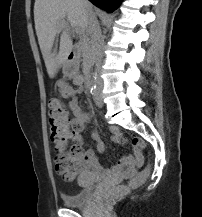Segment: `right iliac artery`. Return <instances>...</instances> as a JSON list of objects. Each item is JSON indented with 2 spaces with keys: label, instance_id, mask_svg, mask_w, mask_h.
<instances>
[{
  "label": "right iliac artery",
  "instance_id": "right-iliac-artery-1",
  "mask_svg": "<svg viewBox=\"0 0 202 217\" xmlns=\"http://www.w3.org/2000/svg\"><path fill=\"white\" fill-rule=\"evenodd\" d=\"M90 92H91L92 95L95 94V92H96V85H94V84L90 85Z\"/></svg>",
  "mask_w": 202,
  "mask_h": 217
}]
</instances>
